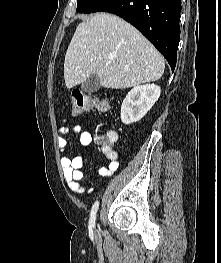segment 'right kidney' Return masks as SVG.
Here are the masks:
<instances>
[{"label": "right kidney", "instance_id": "obj_1", "mask_svg": "<svg viewBox=\"0 0 221 263\" xmlns=\"http://www.w3.org/2000/svg\"><path fill=\"white\" fill-rule=\"evenodd\" d=\"M161 89L155 84L136 86L126 95L121 105V121L130 125L141 120L160 97Z\"/></svg>", "mask_w": 221, "mask_h": 263}]
</instances>
